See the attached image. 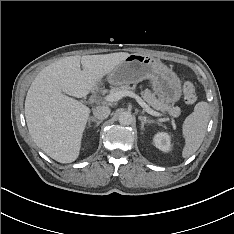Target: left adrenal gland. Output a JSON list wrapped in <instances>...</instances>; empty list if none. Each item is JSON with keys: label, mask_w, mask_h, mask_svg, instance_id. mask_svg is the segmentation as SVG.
<instances>
[{"label": "left adrenal gland", "mask_w": 234, "mask_h": 234, "mask_svg": "<svg viewBox=\"0 0 234 234\" xmlns=\"http://www.w3.org/2000/svg\"><path fill=\"white\" fill-rule=\"evenodd\" d=\"M138 119L141 121V129H144V125L146 123H148V124L155 123L154 120H149L144 116H138Z\"/></svg>", "instance_id": "left-adrenal-gland-1"}]
</instances>
